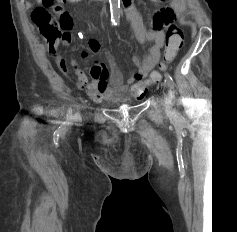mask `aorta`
Listing matches in <instances>:
<instances>
[{
    "label": "aorta",
    "instance_id": "aorta-1",
    "mask_svg": "<svg viewBox=\"0 0 237 232\" xmlns=\"http://www.w3.org/2000/svg\"><path fill=\"white\" fill-rule=\"evenodd\" d=\"M111 21L117 23L120 20V0H109Z\"/></svg>",
    "mask_w": 237,
    "mask_h": 232
}]
</instances>
